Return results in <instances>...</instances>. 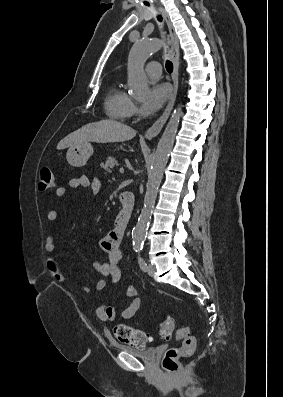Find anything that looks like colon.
Segmentation results:
<instances>
[{"label": "colon", "instance_id": "colon-1", "mask_svg": "<svg viewBox=\"0 0 283 397\" xmlns=\"http://www.w3.org/2000/svg\"><path fill=\"white\" fill-rule=\"evenodd\" d=\"M55 185V179L52 169L43 168L39 175V189L49 190ZM175 329V320L172 317H167L161 322L158 334L163 339H170ZM113 335L121 343L136 347L143 348L150 341V336L146 332L134 329L125 324H117L112 329ZM177 338L182 341V346L179 348H170L166 351L162 367L168 374L175 373L178 369V359L180 357L192 355L195 351L196 343L192 335L190 326L184 325L177 330Z\"/></svg>", "mask_w": 283, "mask_h": 397}]
</instances>
